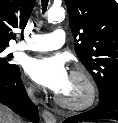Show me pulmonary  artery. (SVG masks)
Wrapping results in <instances>:
<instances>
[{"label": "pulmonary artery", "mask_w": 118, "mask_h": 123, "mask_svg": "<svg viewBox=\"0 0 118 123\" xmlns=\"http://www.w3.org/2000/svg\"><path fill=\"white\" fill-rule=\"evenodd\" d=\"M65 40V31L62 28H57L50 34H31L16 48L19 50L50 51L60 48Z\"/></svg>", "instance_id": "e3ab8cb5"}]
</instances>
